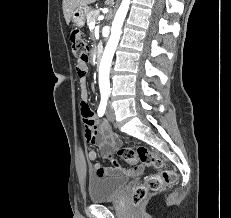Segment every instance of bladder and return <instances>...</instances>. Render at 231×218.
Wrapping results in <instances>:
<instances>
[{"mask_svg": "<svg viewBox=\"0 0 231 218\" xmlns=\"http://www.w3.org/2000/svg\"><path fill=\"white\" fill-rule=\"evenodd\" d=\"M128 179L122 176H98L91 174L88 177V198L92 203H103L116 199Z\"/></svg>", "mask_w": 231, "mask_h": 218, "instance_id": "bladder-1", "label": "bladder"}]
</instances>
